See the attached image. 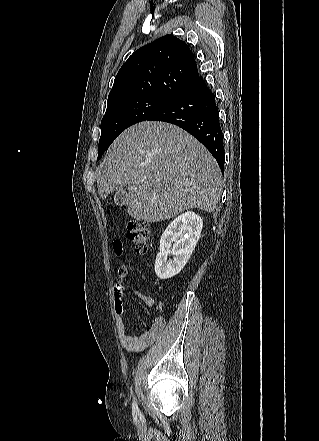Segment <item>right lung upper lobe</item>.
<instances>
[{"instance_id": "1", "label": "right lung upper lobe", "mask_w": 319, "mask_h": 441, "mask_svg": "<svg viewBox=\"0 0 319 441\" xmlns=\"http://www.w3.org/2000/svg\"><path fill=\"white\" fill-rule=\"evenodd\" d=\"M198 77L188 45L173 35H165L138 49L122 65L109 93L107 108L145 96L172 100Z\"/></svg>"}]
</instances>
